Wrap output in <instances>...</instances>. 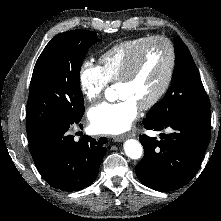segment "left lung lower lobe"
I'll return each mask as SVG.
<instances>
[{
	"instance_id": "0a47b994",
	"label": "left lung lower lobe",
	"mask_w": 221,
	"mask_h": 221,
	"mask_svg": "<svg viewBox=\"0 0 221 221\" xmlns=\"http://www.w3.org/2000/svg\"><path fill=\"white\" fill-rule=\"evenodd\" d=\"M210 102L181 106L171 117L157 122L145 118V129L161 131V140L140 136L144 157L136 166L138 179L157 191L183 187L195 176L210 141Z\"/></svg>"
}]
</instances>
